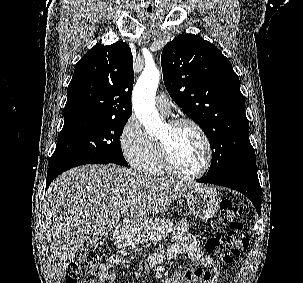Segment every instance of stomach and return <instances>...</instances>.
Returning <instances> with one entry per match:
<instances>
[{
    "instance_id": "0dacf381",
    "label": "stomach",
    "mask_w": 303,
    "mask_h": 283,
    "mask_svg": "<svg viewBox=\"0 0 303 283\" xmlns=\"http://www.w3.org/2000/svg\"><path fill=\"white\" fill-rule=\"evenodd\" d=\"M188 214L200 219H210L218 211L221 198L208 186H199L189 190L186 196Z\"/></svg>"
}]
</instances>
